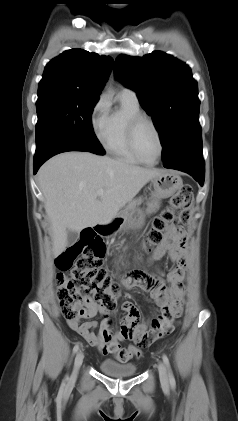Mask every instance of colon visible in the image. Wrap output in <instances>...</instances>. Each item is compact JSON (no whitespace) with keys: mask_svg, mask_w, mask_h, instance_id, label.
Masks as SVG:
<instances>
[{"mask_svg":"<svg viewBox=\"0 0 238 421\" xmlns=\"http://www.w3.org/2000/svg\"><path fill=\"white\" fill-rule=\"evenodd\" d=\"M192 205V188L184 185L171 198L170 205L153 220L145 249L151 251L153 246L161 245L166 240L165 233L172 228L186 233L185 225L190 219ZM104 253L102 239L88 229L76 244L57 256L56 266L60 270L56 281L57 299L67 320L81 317L87 301H93L108 310L115 307L120 286L103 268ZM178 316L176 313L173 318L163 323L160 329L150 336L149 341H155L172 332L177 325ZM139 347L141 346L119 347L114 354L119 362L126 363L141 356Z\"/></svg>","mask_w":238,"mask_h":421,"instance_id":"1","label":"colon"}]
</instances>
